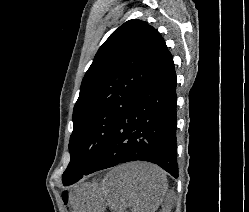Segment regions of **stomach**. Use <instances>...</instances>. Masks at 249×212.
I'll return each mask as SVG.
<instances>
[{
	"instance_id": "obj_1",
	"label": "stomach",
	"mask_w": 249,
	"mask_h": 212,
	"mask_svg": "<svg viewBox=\"0 0 249 212\" xmlns=\"http://www.w3.org/2000/svg\"><path fill=\"white\" fill-rule=\"evenodd\" d=\"M99 183L107 184L108 180L100 179ZM99 188H102V185L98 186L97 182H85L76 188L65 190L62 196L63 204L68 206L70 212H104L106 206Z\"/></svg>"
}]
</instances>
